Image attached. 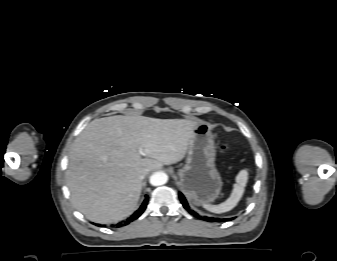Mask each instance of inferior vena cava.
<instances>
[{"mask_svg": "<svg viewBox=\"0 0 337 261\" xmlns=\"http://www.w3.org/2000/svg\"><path fill=\"white\" fill-rule=\"evenodd\" d=\"M148 169H144V170H142L141 172H140V174H139V178L141 179V180H143L144 179V177H145V175L148 173Z\"/></svg>", "mask_w": 337, "mask_h": 261, "instance_id": "602c4592", "label": "inferior vena cava"}]
</instances>
